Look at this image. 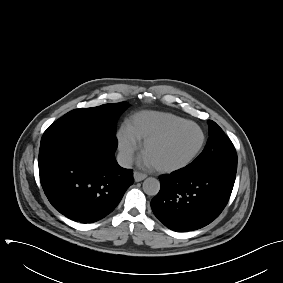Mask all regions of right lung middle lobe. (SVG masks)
Here are the masks:
<instances>
[{
  "label": "right lung middle lobe",
  "mask_w": 283,
  "mask_h": 283,
  "mask_svg": "<svg viewBox=\"0 0 283 283\" xmlns=\"http://www.w3.org/2000/svg\"><path fill=\"white\" fill-rule=\"evenodd\" d=\"M127 107V102H121L70 111L47 128L40 148L73 134L96 130L107 122L112 125L105 131L115 134L114 121Z\"/></svg>",
  "instance_id": "right-lung-middle-lobe-1"
}]
</instances>
